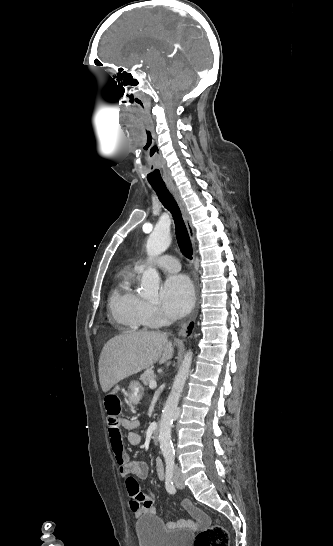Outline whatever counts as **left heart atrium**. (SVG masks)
Listing matches in <instances>:
<instances>
[{
	"label": "left heart atrium",
	"instance_id": "obj_1",
	"mask_svg": "<svg viewBox=\"0 0 333 546\" xmlns=\"http://www.w3.org/2000/svg\"><path fill=\"white\" fill-rule=\"evenodd\" d=\"M162 307L172 318H179L189 312L194 300V291L189 279L183 275L169 276L161 290Z\"/></svg>",
	"mask_w": 333,
	"mask_h": 546
}]
</instances>
